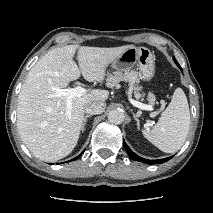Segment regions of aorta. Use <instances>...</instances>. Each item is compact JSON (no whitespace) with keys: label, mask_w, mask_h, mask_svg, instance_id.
Listing matches in <instances>:
<instances>
[{"label":"aorta","mask_w":213,"mask_h":213,"mask_svg":"<svg viewBox=\"0 0 213 213\" xmlns=\"http://www.w3.org/2000/svg\"><path fill=\"white\" fill-rule=\"evenodd\" d=\"M108 121L113 124H121L124 121L125 115L123 111L114 109L108 114Z\"/></svg>","instance_id":"aorta-1"}]
</instances>
